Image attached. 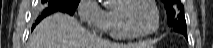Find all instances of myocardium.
I'll list each match as a JSON object with an SVG mask.
<instances>
[{
    "mask_svg": "<svg viewBox=\"0 0 213 48\" xmlns=\"http://www.w3.org/2000/svg\"><path fill=\"white\" fill-rule=\"evenodd\" d=\"M136 1L146 2L147 4H149L152 7V9L154 11V15H155V26L151 31H148V32L137 31L134 27H132V25L129 23L127 17L125 16L124 10ZM116 12H117V15H118V18H119V22H120L121 26L123 27V29L129 35H131L133 37L143 38V37L150 36V35L156 33L158 31L159 27H160L159 10H158V7L156 6L155 2L152 1V0H123L116 7Z\"/></svg>",
    "mask_w": 213,
    "mask_h": 48,
    "instance_id": "1",
    "label": "myocardium"
}]
</instances>
